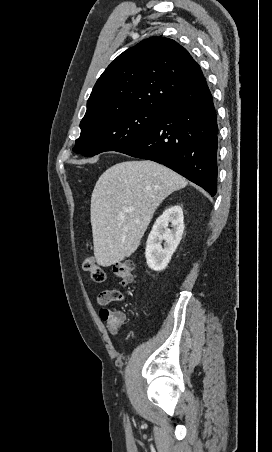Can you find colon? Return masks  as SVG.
<instances>
[{
	"label": "colon",
	"mask_w": 272,
	"mask_h": 452,
	"mask_svg": "<svg viewBox=\"0 0 272 452\" xmlns=\"http://www.w3.org/2000/svg\"><path fill=\"white\" fill-rule=\"evenodd\" d=\"M83 269L88 272L91 279L96 283H103L106 280L104 269L95 261L93 257L87 256L82 262ZM114 274L125 283H130L134 279V265L132 261L125 260L114 266Z\"/></svg>",
	"instance_id": "1"
}]
</instances>
